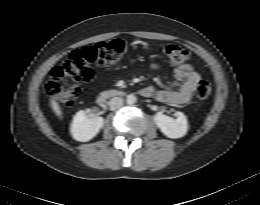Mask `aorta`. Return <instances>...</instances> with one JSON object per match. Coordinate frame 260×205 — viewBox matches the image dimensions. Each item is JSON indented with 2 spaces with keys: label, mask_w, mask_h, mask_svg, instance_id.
<instances>
[{
  "label": "aorta",
  "mask_w": 260,
  "mask_h": 205,
  "mask_svg": "<svg viewBox=\"0 0 260 205\" xmlns=\"http://www.w3.org/2000/svg\"><path fill=\"white\" fill-rule=\"evenodd\" d=\"M136 101H137V98L134 94L127 95V97H126L127 104L132 105V104L136 103Z\"/></svg>",
  "instance_id": "obj_1"
}]
</instances>
